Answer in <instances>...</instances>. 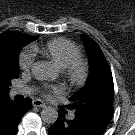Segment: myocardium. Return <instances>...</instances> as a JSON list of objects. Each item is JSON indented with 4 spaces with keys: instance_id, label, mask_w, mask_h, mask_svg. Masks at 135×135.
<instances>
[{
    "instance_id": "1",
    "label": "myocardium",
    "mask_w": 135,
    "mask_h": 135,
    "mask_svg": "<svg viewBox=\"0 0 135 135\" xmlns=\"http://www.w3.org/2000/svg\"><path fill=\"white\" fill-rule=\"evenodd\" d=\"M64 78L75 87L84 86L90 77L88 62L79 57L62 69Z\"/></svg>"
}]
</instances>
